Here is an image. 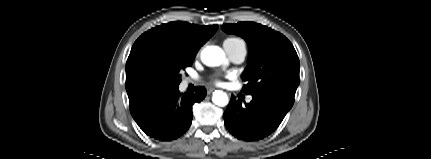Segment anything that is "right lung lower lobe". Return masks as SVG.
<instances>
[{
  "instance_id": "98d812e1",
  "label": "right lung lower lobe",
  "mask_w": 431,
  "mask_h": 159,
  "mask_svg": "<svg viewBox=\"0 0 431 159\" xmlns=\"http://www.w3.org/2000/svg\"><path fill=\"white\" fill-rule=\"evenodd\" d=\"M206 89L181 95L178 86L158 88L130 102V112L139 127L159 141H171L183 135L193 119L192 106L202 101Z\"/></svg>"
}]
</instances>
